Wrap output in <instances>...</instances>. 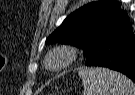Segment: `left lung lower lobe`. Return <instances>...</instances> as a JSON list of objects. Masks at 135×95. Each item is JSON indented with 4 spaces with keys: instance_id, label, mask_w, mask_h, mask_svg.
<instances>
[{
    "instance_id": "left-lung-lower-lobe-1",
    "label": "left lung lower lobe",
    "mask_w": 135,
    "mask_h": 95,
    "mask_svg": "<svg viewBox=\"0 0 135 95\" xmlns=\"http://www.w3.org/2000/svg\"><path fill=\"white\" fill-rule=\"evenodd\" d=\"M85 64L119 71L135 83V37L131 25L106 36Z\"/></svg>"
}]
</instances>
